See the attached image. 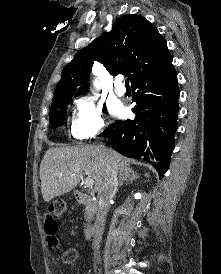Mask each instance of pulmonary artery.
<instances>
[{
  "mask_svg": "<svg viewBox=\"0 0 221 274\" xmlns=\"http://www.w3.org/2000/svg\"><path fill=\"white\" fill-rule=\"evenodd\" d=\"M114 90H115V93L119 96H122L125 94L126 88L124 84L122 83V78H117Z\"/></svg>",
  "mask_w": 221,
  "mask_h": 274,
  "instance_id": "e3ab8cb5",
  "label": "pulmonary artery"
}]
</instances>
